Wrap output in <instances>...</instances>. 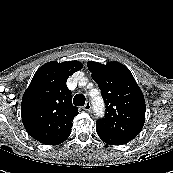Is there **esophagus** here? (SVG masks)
<instances>
[{
	"instance_id": "esophagus-1",
	"label": "esophagus",
	"mask_w": 173,
	"mask_h": 173,
	"mask_svg": "<svg viewBox=\"0 0 173 173\" xmlns=\"http://www.w3.org/2000/svg\"><path fill=\"white\" fill-rule=\"evenodd\" d=\"M83 110L85 111H90L91 110V103L87 102L84 106H83Z\"/></svg>"
}]
</instances>
